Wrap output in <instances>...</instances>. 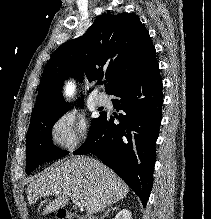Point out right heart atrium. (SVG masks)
Listing matches in <instances>:
<instances>
[{
  "label": "right heart atrium",
  "mask_w": 211,
  "mask_h": 219,
  "mask_svg": "<svg viewBox=\"0 0 211 219\" xmlns=\"http://www.w3.org/2000/svg\"><path fill=\"white\" fill-rule=\"evenodd\" d=\"M49 136L61 150L74 151L88 138L86 120L74 111H64L53 120Z\"/></svg>",
  "instance_id": "d8ad5b80"
}]
</instances>
